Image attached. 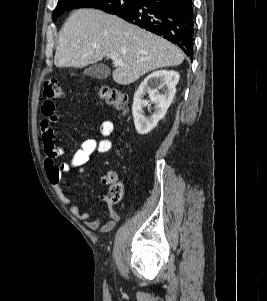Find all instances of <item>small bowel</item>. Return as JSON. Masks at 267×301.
<instances>
[{"label":"small bowel","mask_w":267,"mask_h":301,"mask_svg":"<svg viewBox=\"0 0 267 301\" xmlns=\"http://www.w3.org/2000/svg\"><path fill=\"white\" fill-rule=\"evenodd\" d=\"M43 119L40 123L41 134L44 143V168L47 172L49 182L57 192L63 203L69 206L71 214L81 220L84 225L90 230H98L101 232L111 231L119 220L117 211L112 207L108 198L105 195L99 197L100 201L105 202L108 206V213L105 220L94 219L89 212L80 210L64 192L62 174L75 169L79 175L86 173L88 167L94 166L97 163L94 157L95 152L107 153L111 150L112 142L108 139L114 131V124L111 121H103L98 128V132L104 138L96 140L95 138L85 139L80 148L75 152L71 161L57 165L55 160L61 156L64 151L55 143L54 130L52 123L57 120L55 115V104L52 99H45L41 107ZM98 178L103 184H111L116 180V174L108 172L105 175H98Z\"/></svg>","instance_id":"c3829d8e"}]
</instances>
